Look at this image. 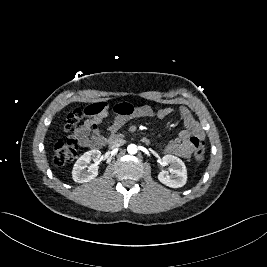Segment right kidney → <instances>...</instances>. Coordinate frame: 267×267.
<instances>
[{
    "instance_id": "obj_1",
    "label": "right kidney",
    "mask_w": 267,
    "mask_h": 267,
    "mask_svg": "<svg viewBox=\"0 0 267 267\" xmlns=\"http://www.w3.org/2000/svg\"><path fill=\"white\" fill-rule=\"evenodd\" d=\"M101 161V151L93 149L85 152L74 164L72 178L77 183H85L98 175V164ZM93 162V164H91ZM91 164L90 166H88Z\"/></svg>"
}]
</instances>
